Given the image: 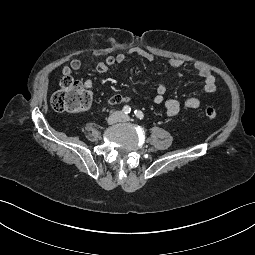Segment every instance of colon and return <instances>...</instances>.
Returning <instances> with one entry per match:
<instances>
[{
  "label": "colon",
  "instance_id": "obj_1",
  "mask_svg": "<svg viewBox=\"0 0 255 255\" xmlns=\"http://www.w3.org/2000/svg\"><path fill=\"white\" fill-rule=\"evenodd\" d=\"M92 103V94L71 76L61 79L60 88L51 97V105L58 112H84L90 109ZM203 112L211 120L218 116L216 109L211 106L205 107Z\"/></svg>",
  "mask_w": 255,
  "mask_h": 255
}]
</instances>
